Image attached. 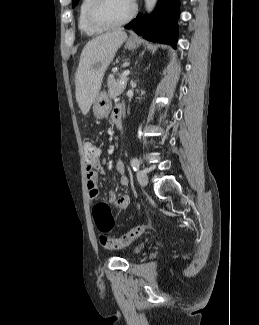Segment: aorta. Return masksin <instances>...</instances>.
<instances>
[{
    "label": "aorta",
    "instance_id": "obj_1",
    "mask_svg": "<svg viewBox=\"0 0 259 325\" xmlns=\"http://www.w3.org/2000/svg\"><path fill=\"white\" fill-rule=\"evenodd\" d=\"M157 0H145V8L147 12H151L155 5H156Z\"/></svg>",
    "mask_w": 259,
    "mask_h": 325
}]
</instances>
